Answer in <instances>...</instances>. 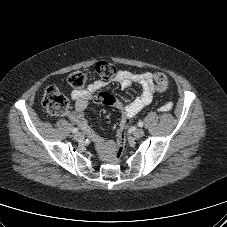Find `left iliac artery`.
<instances>
[{
    "mask_svg": "<svg viewBox=\"0 0 227 227\" xmlns=\"http://www.w3.org/2000/svg\"><path fill=\"white\" fill-rule=\"evenodd\" d=\"M143 125H144L143 122H141V121L138 122L139 127H143Z\"/></svg>",
    "mask_w": 227,
    "mask_h": 227,
    "instance_id": "left-iliac-artery-1",
    "label": "left iliac artery"
}]
</instances>
